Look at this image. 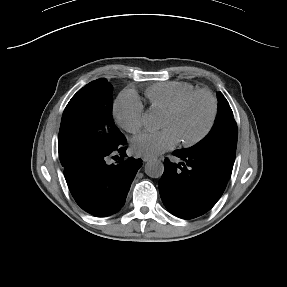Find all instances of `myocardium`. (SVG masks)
I'll return each mask as SVG.
<instances>
[{"label": "myocardium", "mask_w": 287, "mask_h": 287, "mask_svg": "<svg viewBox=\"0 0 287 287\" xmlns=\"http://www.w3.org/2000/svg\"><path fill=\"white\" fill-rule=\"evenodd\" d=\"M204 96L206 100L209 103L210 106V112H209V117L208 121L206 123V126L204 129L195 137L190 138V139H185L181 140V144L185 147H191L194 146L198 143H200L202 140H204L210 131L213 128V125L215 123L216 115H217V104L214 96L212 95L211 92L205 89H197L193 90L190 93L186 94L183 96L181 99H179L173 106H171L166 112L165 115L173 116L177 114L179 111L182 110V108L189 102L191 101L194 97L196 96Z\"/></svg>", "instance_id": "f54148a6"}]
</instances>
